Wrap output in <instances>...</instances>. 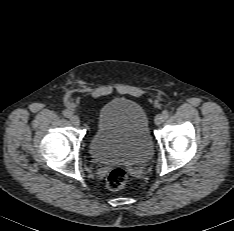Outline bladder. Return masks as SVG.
Instances as JSON below:
<instances>
[{"label":"bladder","mask_w":234,"mask_h":231,"mask_svg":"<svg viewBox=\"0 0 234 231\" xmlns=\"http://www.w3.org/2000/svg\"><path fill=\"white\" fill-rule=\"evenodd\" d=\"M88 152L94 161L106 165L146 163L152 156L153 143L143 107L123 97L104 104Z\"/></svg>","instance_id":"bladder-1"}]
</instances>
